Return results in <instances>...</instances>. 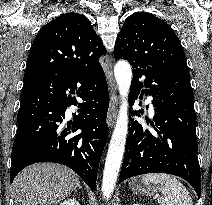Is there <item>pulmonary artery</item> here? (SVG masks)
<instances>
[{
    "instance_id": "pulmonary-artery-1",
    "label": "pulmonary artery",
    "mask_w": 212,
    "mask_h": 205,
    "mask_svg": "<svg viewBox=\"0 0 212 205\" xmlns=\"http://www.w3.org/2000/svg\"><path fill=\"white\" fill-rule=\"evenodd\" d=\"M151 100H152V98L151 97H148V102L149 103H151Z\"/></svg>"
}]
</instances>
